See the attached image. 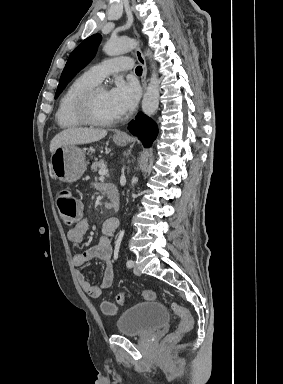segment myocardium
Wrapping results in <instances>:
<instances>
[{
  "label": "myocardium",
  "mask_w": 283,
  "mask_h": 384,
  "mask_svg": "<svg viewBox=\"0 0 283 384\" xmlns=\"http://www.w3.org/2000/svg\"><path fill=\"white\" fill-rule=\"evenodd\" d=\"M101 90H106V87L101 84H95L90 88L82 92L76 99L73 105V115L75 119L85 126L107 128L115 125L119 122V117L109 121H102L97 119L92 114V102L97 94Z\"/></svg>",
  "instance_id": "1"
}]
</instances>
